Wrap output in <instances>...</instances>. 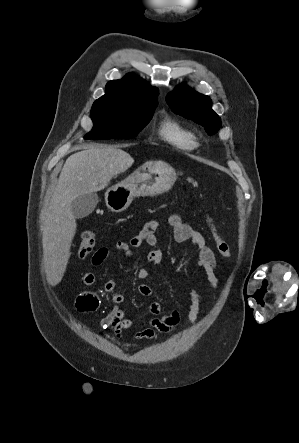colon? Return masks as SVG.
I'll return each instance as SVG.
<instances>
[{
    "instance_id": "colon-1",
    "label": "colon",
    "mask_w": 299,
    "mask_h": 443,
    "mask_svg": "<svg viewBox=\"0 0 299 443\" xmlns=\"http://www.w3.org/2000/svg\"><path fill=\"white\" fill-rule=\"evenodd\" d=\"M206 221L209 224L211 231H212V235H213V240L215 243V246L218 250V252L224 256V257H230L231 256V250L229 245L221 239V237L218 235L215 227L212 224V220L209 217H206ZM95 233L91 230H86L82 233L81 236V242H80V246H79V256L80 258H86L93 250V247L95 245Z\"/></svg>"
}]
</instances>
